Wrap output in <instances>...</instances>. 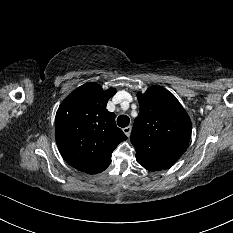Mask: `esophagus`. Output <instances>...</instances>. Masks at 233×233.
Returning a JSON list of instances; mask_svg holds the SVG:
<instances>
[{
	"label": "esophagus",
	"mask_w": 233,
	"mask_h": 233,
	"mask_svg": "<svg viewBox=\"0 0 233 233\" xmlns=\"http://www.w3.org/2000/svg\"><path fill=\"white\" fill-rule=\"evenodd\" d=\"M123 132L126 134L127 137H129L131 133V126L123 128Z\"/></svg>",
	"instance_id": "1"
}]
</instances>
